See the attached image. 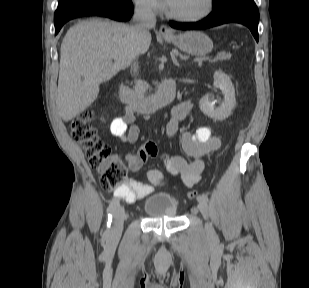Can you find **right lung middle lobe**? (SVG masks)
<instances>
[{
  "instance_id": "obj_1",
  "label": "right lung middle lobe",
  "mask_w": 309,
  "mask_h": 288,
  "mask_svg": "<svg viewBox=\"0 0 309 288\" xmlns=\"http://www.w3.org/2000/svg\"><path fill=\"white\" fill-rule=\"evenodd\" d=\"M88 0H60L58 3V8L55 12L54 16H58L64 12H66L67 10L83 3L86 2Z\"/></svg>"
}]
</instances>
